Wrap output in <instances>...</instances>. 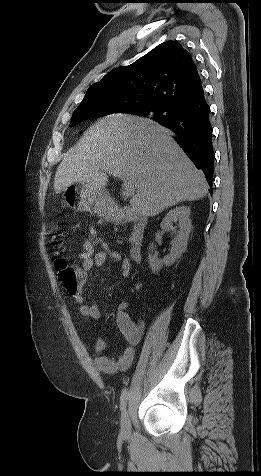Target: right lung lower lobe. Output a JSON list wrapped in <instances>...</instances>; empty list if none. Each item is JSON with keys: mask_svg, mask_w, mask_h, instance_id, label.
Here are the masks:
<instances>
[{"mask_svg": "<svg viewBox=\"0 0 261 476\" xmlns=\"http://www.w3.org/2000/svg\"><path fill=\"white\" fill-rule=\"evenodd\" d=\"M176 135V141L198 169L212 183L214 151L210 108L204 92L194 102L176 109L172 116L157 121Z\"/></svg>", "mask_w": 261, "mask_h": 476, "instance_id": "98d812e1", "label": "right lung lower lobe"}]
</instances>
